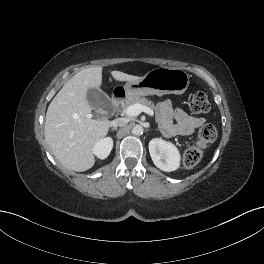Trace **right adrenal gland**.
Returning a JSON list of instances; mask_svg holds the SVG:
<instances>
[{
    "mask_svg": "<svg viewBox=\"0 0 264 264\" xmlns=\"http://www.w3.org/2000/svg\"><path fill=\"white\" fill-rule=\"evenodd\" d=\"M117 129H118L117 127L111 128V130H115V131H117Z\"/></svg>",
    "mask_w": 264,
    "mask_h": 264,
    "instance_id": "2a0ac1e0",
    "label": "right adrenal gland"
}]
</instances>
